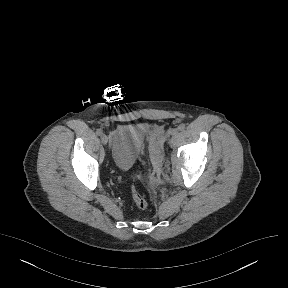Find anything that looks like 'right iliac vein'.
I'll use <instances>...</instances> for the list:
<instances>
[{"label": "right iliac vein", "mask_w": 288, "mask_h": 288, "mask_svg": "<svg viewBox=\"0 0 288 288\" xmlns=\"http://www.w3.org/2000/svg\"><path fill=\"white\" fill-rule=\"evenodd\" d=\"M101 142H102V144H107V142H108V138H107V136L106 135H102L101 136Z\"/></svg>", "instance_id": "right-iliac-vein-1"}]
</instances>
